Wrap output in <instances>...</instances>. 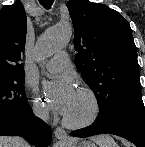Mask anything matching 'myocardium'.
I'll list each match as a JSON object with an SVG mask.
<instances>
[{
  "mask_svg": "<svg viewBox=\"0 0 145 147\" xmlns=\"http://www.w3.org/2000/svg\"><path fill=\"white\" fill-rule=\"evenodd\" d=\"M78 93L88 99L90 103V112L86 117L80 120H72L65 116L63 118V124L71 129H82L91 126L97 121L101 113V106L98 97L90 88L81 87L79 88Z\"/></svg>",
  "mask_w": 145,
  "mask_h": 147,
  "instance_id": "f54148a6",
  "label": "myocardium"
}]
</instances>
